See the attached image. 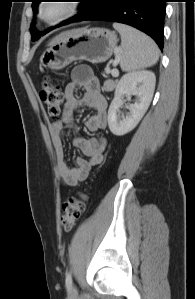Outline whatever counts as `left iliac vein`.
I'll list each match as a JSON object with an SVG mask.
<instances>
[{
  "label": "left iliac vein",
  "instance_id": "obj_1",
  "mask_svg": "<svg viewBox=\"0 0 195 299\" xmlns=\"http://www.w3.org/2000/svg\"><path fill=\"white\" fill-rule=\"evenodd\" d=\"M76 294H77V290L75 286H71V288L69 289V295L75 296Z\"/></svg>",
  "mask_w": 195,
  "mask_h": 299
}]
</instances>
